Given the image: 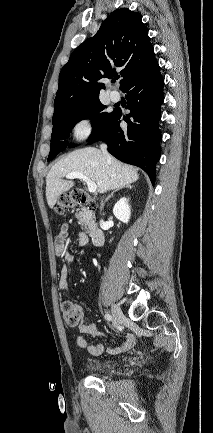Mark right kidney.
<instances>
[{
    "instance_id": "ca27d5eb",
    "label": "right kidney",
    "mask_w": 213,
    "mask_h": 433,
    "mask_svg": "<svg viewBox=\"0 0 213 433\" xmlns=\"http://www.w3.org/2000/svg\"><path fill=\"white\" fill-rule=\"evenodd\" d=\"M113 213L117 219L123 223H128L131 214L130 207L128 205V199L123 197L117 201L113 208Z\"/></svg>"
}]
</instances>
